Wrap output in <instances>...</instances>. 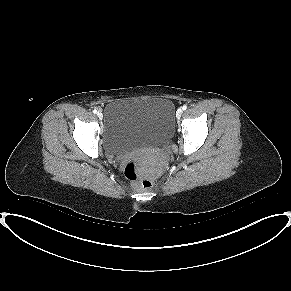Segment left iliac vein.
<instances>
[{"instance_id":"4c4485c4","label":"left iliac vein","mask_w":291,"mask_h":291,"mask_svg":"<svg viewBox=\"0 0 291 291\" xmlns=\"http://www.w3.org/2000/svg\"><path fill=\"white\" fill-rule=\"evenodd\" d=\"M182 113H183V110H182V109H178V110H177V112H176V117H177V119H180V118H181Z\"/></svg>"}]
</instances>
